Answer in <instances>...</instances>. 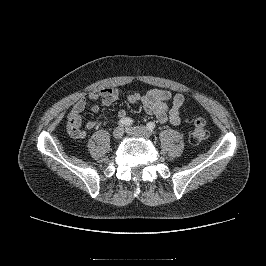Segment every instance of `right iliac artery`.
I'll return each mask as SVG.
<instances>
[{"mask_svg":"<svg viewBox=\"0 0 266 266\" xmlns=\"http://www.w3.org/2000/svg\"><path fill=\"white\" fill-rule=\"evenodd\" d=\"M133 124V120L131 118H122L118 121V125H120L121 127L123 126H130Z\"/></svg>","mask_w":266,"mask_h":266,"instance_id":"82829eb1","label":"right iliac artery"}]
</instances>
